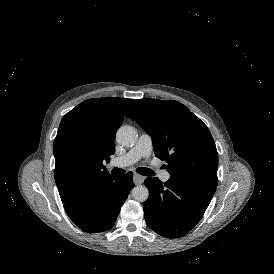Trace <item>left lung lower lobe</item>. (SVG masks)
<instances>
[{
  "label": "left lung lower lobe",
  "instance_id": "0a47b994",
  "mask_svg": "<svg viewBox=\"0 0 274 274\" xmlns=\"http://www.w3.org/2000/svg\"><path fill=\"white\" fill-rule=\"evenodd\" d=\"M149 198L144 202L147 225L167 238H177L189 232L202 218L214 188L170 178L162 183L158 178L144 181Z\"/></svg>",
  "mask_w": 274,
  "mask_h": 274
}]
</instances>
